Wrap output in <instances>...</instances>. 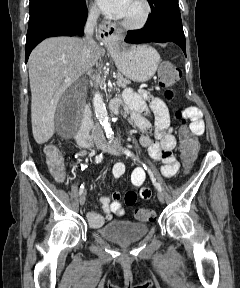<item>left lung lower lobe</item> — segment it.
Segmentation results:
<instances>
[{
    "instance_id": "left-lung-lower-lobe-1",
    "label": "left lung lower lobe",
    "mask_w": 240,
    "mask_h": 288,
    "mask_svg": "<svg viewBox=\"0 0 240 288\" xmlns=\"http://www.w3.org/2000/svg\"><path fill=\"white\" fill-rule=\"evenodd\" d=\"M178 44L186 55L185 36L178 6L162 2L147 20V24L140 30L129 31L125 42H169Z\"/></svg>"
}]
</instances>
